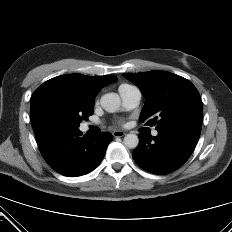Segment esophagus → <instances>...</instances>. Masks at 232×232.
<instances>
[{
  "mask_svg": "<svg viewBox=\"0 0 232 232\" xmlns=\"http://www.w3.org/2000/svg\"><path fill=\"white\" fill-rule=\"evenodd\" d=\"M112 135L114 137H123L125 135V132L124 131H120V130H115L112 132Z\"/></svg>",
  "mask_w": 232,
  "mask_h": 232,
  "instance_id": "34e87169",
  "label": "esophagus"
}]
</instances>
